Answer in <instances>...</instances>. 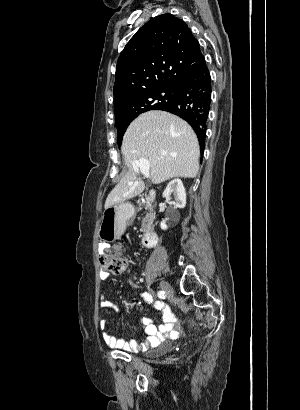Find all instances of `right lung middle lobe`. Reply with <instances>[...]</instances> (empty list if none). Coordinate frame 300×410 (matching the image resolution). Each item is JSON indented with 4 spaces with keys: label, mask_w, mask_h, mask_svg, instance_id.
Wrapping results in <instances>:
<instances>
[{
    "label": "right lung middle lobe",
    "mask_w": 300,
    "mask_h": 410,
    "mask_svg": "<svg viewBox=\"0 0 300 410\" xmlns=\"http://www.w3.org/2000/svg\"><path fill=\"white\" fill-rule=\"evenodd\" d=\"M176 95V88L161 89L141 95L136 102L137 112L130 117L116 119L115 124L118 129V145H121L123 135L129 124L140 114L149 110H158L162 106L169 104Z\"/></svg>",
    "instance_id": "obj_1"
}]
</instances>
